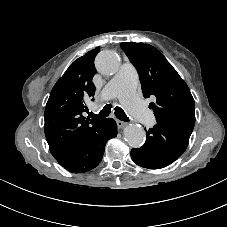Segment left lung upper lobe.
I'll list each match as a JSON object with an SVG mask.
<instances>
[{"label": "left lung upper lobe", "mask_w": 227, "mask_h": 227, "mask_svg": "<svg viewBox=\"0 0 227 227\" xmlns=\"http://www.w3.org/2000/svg\"><path fill=\"white\" fill-rule=\"evenodd\" d=\"M129 60L139 73L145 98L155 97L149 104L156 122L191 135L195 124V103L187 84L164 55L143 43H121Z\"/></svg>", "instance_id": "left-lung-upper-lobe-1"}]
</instances>
